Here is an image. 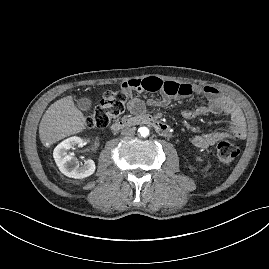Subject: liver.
I'll return each mask as SVG.
<instances>
[{"label": "liver", "instance_id": "obj_1", "mask_svg": "<svg viewBox=\"0 0 269 269\" xmlns=\"http://www.w3.org/2000/svg\"><path fill=\"white\" fill-rule=\"evenodd\" d=\"M86 118L71 95L57 100L46 110L39 125L40 141L50 147L63 138L85 129Z\"/></svg>", "mask_w": 269, "mask_h": 269}]
</instances>
